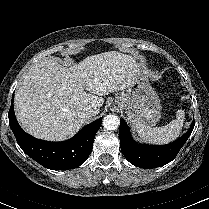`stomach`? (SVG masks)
I'll return each mask as SVG.
<instances>
[{
	"label": "stomach",
	"mask_w": 209,
	"mask_h": 209,
	"mask_svg": "<svg viewBox=\"0 0 209 209\" xmlns=\"http://www.w3.org/2000/svg\"><path fill=\"white\" fill-rule=\"evenodd\" d=\"M117 108L130 119L154 126L161 118L160 99L144 73L137 74L127 89L115 97Z\"/></svg>",
	"instance_id": "obj_1"
}]
</instances>
